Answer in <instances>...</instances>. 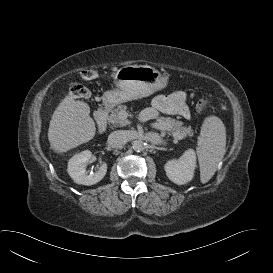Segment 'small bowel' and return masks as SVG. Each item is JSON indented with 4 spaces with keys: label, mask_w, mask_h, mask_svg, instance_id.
<instances>
[{
    "label": "small bowel",
    "mask_w": 273,
    "mask_h": 273,
    "mask_svg": "<svg viewBox=\"0 0 273 273\" xmlns=\"http://www.w3.org/2000/svg\"><path fill=\"white\" fill-rule=\"evenodd\" d=\"M158 113L177 115L188 119L190 117L187 105V95L183 91H176L166 95H158L152 101V115Z\"/></svg>",
    "instance_id": "c3829d8e"
}]
</instances>
